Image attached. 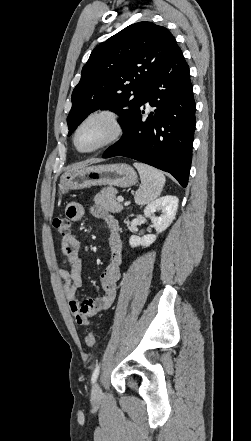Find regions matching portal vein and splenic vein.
<instances>
[{"label":"portal vein and splenic vein","mask_w":251,"mask_h":441,"mask_svg":"<svg viewBox=\"0 0 251 441\" xmlns=\"http://www.w3.org/2000/svg\"><path fill=\"white\" fill-rule=\"evenodd\" d=\"M117 200L118 202H123L124 198L122 196H118Z\"/></svg>","instance_id":"portal-vein-and-splenic-vein-1"}]
</instances>
